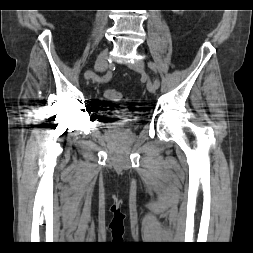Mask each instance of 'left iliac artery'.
Wrapping results in <instances>:
<instances>
[{"label": "left iliac artery", "mask_w": 253, "mask_h": 253, "mask_svg": "<svg viewBox=\"0 0 253 253\" xmlns=\"http://www.w3.org/2000/svg\"><path fill=\"white\" fill-rule=\"evenodd\" d=\"M148 67L153 70L155 73H157L156 65L153 62H148ZM154 86L158 88L160 86L159 78L157 77L154 81Z\"/></svg>", "instance_id": "obj_1"}]
</instances>
